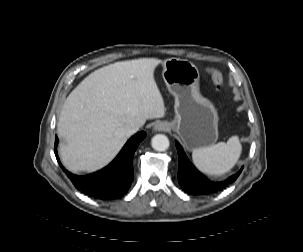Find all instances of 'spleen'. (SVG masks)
Here are the masks:
<instances>
[{"label": "spleen", "instance_id": "spleen-1", "mask_svg": "<svg viewBox=\"0 0 303 252\" xmlns=\"http://www.w3.org/2000/svg\"><path fill=\"white\" fill-rule=\"evenodd\" d=\"M241 152L239 137L232 136L227 143L219 142L210 147L195 149L192 160L201 172L211 176H221L235 166Z\"/></svg>", "mask_w": 303, "mask_h": 252}]
</instances>
